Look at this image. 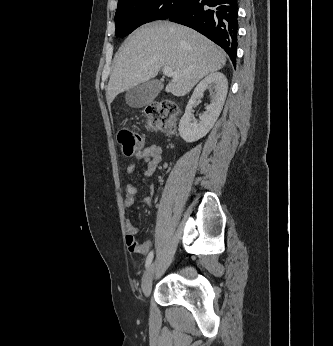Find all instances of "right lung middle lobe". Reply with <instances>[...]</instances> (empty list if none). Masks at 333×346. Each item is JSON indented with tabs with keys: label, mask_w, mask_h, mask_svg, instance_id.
<instances>
[{
	"label": "right lung middle lobe",
	"mask_w": 333,
	"mask_h": 346,
	"mask_svg": "<svg viewBox=\"0 0 333 346\" xmlns=\"http://www.w3.org/2000/svg\"><path fill=\"white\" fill-rule=\"evenodd\" d=\"M185 0H118L115 35L125 37L137 27L155 20H165Z\"/></svg>",
	"instance_id": "1"
}]
</instances>
